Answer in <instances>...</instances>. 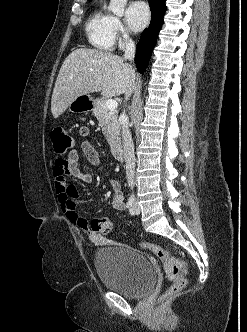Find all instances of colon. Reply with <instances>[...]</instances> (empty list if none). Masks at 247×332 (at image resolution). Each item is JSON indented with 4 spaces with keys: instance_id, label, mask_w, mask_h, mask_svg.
I'll use <instances>...</instances> for the list:
<instances>
[{
    "instance_id": "5ec220e1",
    "label": "colon",
    "mask_w": 247,
    "mask_h": 332,
    "mask_svg": "<svg viewBox=\"0 0 247 332\" xmlns=\"http://www.w3.org/2000/svg\"><path fill=\"white\" fill-rule=\"evenodd\" d=\"M51 139L54 150L59 155L70 152L74 146L72 136L62 127L53 129ZM91 229L97 233H110L114 229V224L107 218H96L91 222ZM140 247L150 251L164 262L165 272L172 283L163 294V299L173 296L186 286L187 266L181 258L172 255L167 249L153 243L140 242Z\"/></svg>"
}]
</instances>
